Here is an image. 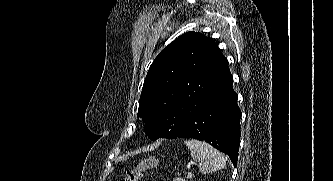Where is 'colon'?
<instances>
[{
	"mask_svg": "<svg viewBox=\"0 0 333 181\" xmlns=\"http://www.w3.org/2000/svg\"><path fill=\"white\" fill-rule=\"evenodd\" d=\"M160 159L155 156H149L141 160L135 167L127 170L126 175L120 181H139L141 176L158 167Z\"/></svg>",
	"mask_w": 333,
	"mask_h": 181,
	"instance_id": "colon-1",
	"label": "colon"
}]
</instances>
